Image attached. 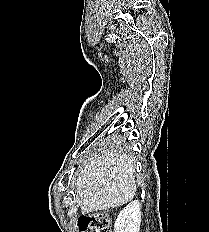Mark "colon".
<instances>
[{
    "label": "colon",
    "mask_w": 209,
    "mask_h": 232,
    "mask_svg": "<svg viewBox=\"0 0 209 232\" xmlns=\"http://www.w3.org/2000/svg\"><path fill=\"white\" fill-rule=\"evenodd\" d=\"M77 225L82 232H112L111 215L105 210L80 216Z\"/></svg>",
    "instance_id": "colon-1"
}]
</instances>
